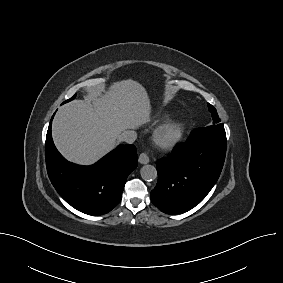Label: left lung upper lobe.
<instances>
[{
  "label": "left lung upper lobe",
  "mask_w": 283,
  "mask_h": 283,
  "mask_svg": "<svg viewBox=\"0 0 283 283\" xmlns=\"http://www.w3.org/2000/svg\"><path fill=\"white\" fill-rule=\"evenodd\" d=\"M207 105H208L209 111L212 114L213 123H212V125L205 127V128L216 130L220 133H225L224 125L222 123H220V119L217 115L216 109L209 103H207Z\"/></svg>",
  "instance_id": "5c2ea615"
}]
</instances>
